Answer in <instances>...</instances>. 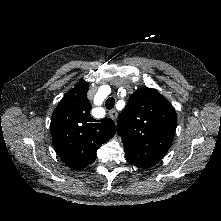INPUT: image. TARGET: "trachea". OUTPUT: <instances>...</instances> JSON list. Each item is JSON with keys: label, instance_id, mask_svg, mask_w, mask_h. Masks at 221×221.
<instances>
[{"label": "trachea", "instance_id": "trachea-1", "mask_svg": "<svg viewBox=\"0 0 221 221\" xmlns=\"http://www.w3.org/2000/svg\"><path fill=\"white\" fill-rule=\"evenodd\" d=\"M115 105V99L113 97H109L106 101V108L108 110L112 109Z\"/></svg>", "mask_w": 221, "mask_h": 221}]
</instances>
